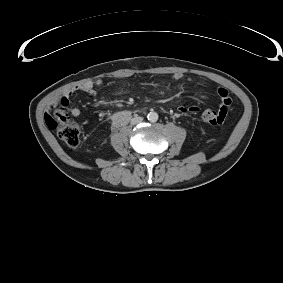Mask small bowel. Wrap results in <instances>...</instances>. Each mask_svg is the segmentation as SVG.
Masks as SVG:
<instances>
[{"label": "small bowel", "instance_id": "small-bowel-1", "mask_svg": "<svg viewBox=\"0 0 283 283\" xmlns=\"http://www.w3.org/2000/svg\"><path fill=\"white\" fill-rule=\"evenodd\" d=\"M172 79L176 82L183 80V75L179 74V73H175L172 75ZM101 84V80L100 79H96L93 81H87L84 82L82 84H80L76 89L68 92L66 94V98H70L73 96V94L77 91L83 92L85 94H87L89 97H93L95 95V89L97 86H99ZM217 95L219 96L220 100H221V105H220V109H226L228 111V109L230 108L231 105V99L229 96L228 91L225 88H218L217 89ZM219 109V110H220ZM199 107L196 105H181L178 107V112L180 114H197L199 112ZM70 114L73 117H78L81 114V111L79 108L73 107L70 109Z\"/></svg>", "mask_w": 283, "mask_h": 283}]
</instances>
